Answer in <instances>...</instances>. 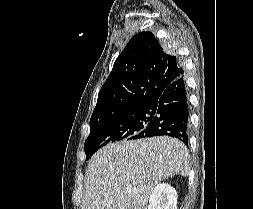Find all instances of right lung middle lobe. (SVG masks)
Returning a JSON list of instances; mask_svg holds the SVG:
<instances>
[{
  "instance_id": "obj_1",
  "label": "right lung middle lobe",
  "mask_w": 253,
  "mask_h": 209,
  "mask_svg": "<svg viewBox=\"0 0 253 209\" xmlns=\"http://www.w3.org/2000/svg\"><path fill=\"white\" fill-rule=\"evenodd\" d=\"M150 105L131 108L117 115L90 120V134L85 141L86 160L109 142L131 140L154 118Z\"/></svg>"
}]
</instances>
